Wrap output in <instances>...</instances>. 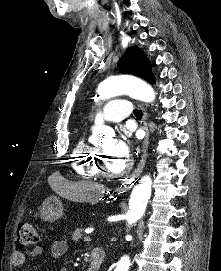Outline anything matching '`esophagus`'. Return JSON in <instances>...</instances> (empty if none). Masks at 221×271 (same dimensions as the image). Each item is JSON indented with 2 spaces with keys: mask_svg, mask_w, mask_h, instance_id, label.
Instances as JSON below:
<instances>
[{
  "mask_svg": "<svg viewBox=\"0 0 221 271\" xmlns=\"http://www.w3.org/2000/svg\"><path fill=\"white\" fill-rule=\"evenodd\" d=\"M141 126L145 131V137L142 143V154H141V159L140 162L137 166V168L129 175V177L127 178L126 181H124L122 183V188L123 190H128L132 180H134L136 177H138L140 175V173L142 172L146 159H147V151H148V145H149V129H148V125H147V114L145 112V110H143V118L141 121Z\"/></svg>",
  "mask_w": 221,
  "mask_h": 271,
  "instance_id": "esophagus-1",
  "label": "esophagus"
}]
</instances>
